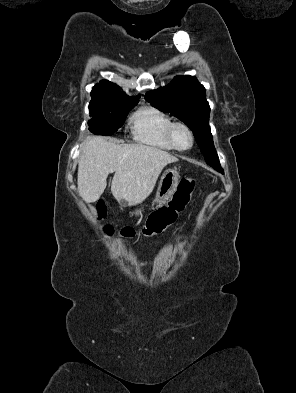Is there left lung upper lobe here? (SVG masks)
Here are the masks:
<instances>
[{
	"mask_svg": "<svg viewBox=\"0 0 296 393\" xmlns=\"http://www.w3.org/2000/svg\"><path fill=\"white\" fill-rule=\"evenodd\" d=\"M153 107L175 114L192 131L206 163L223 172L209 127L210 106L206 90L195 77H175L166 87L146 93Z\"/></svg>",
	"mask_w": 296,
	"mask_h": 393,
	"instance_id": "obj_1",
	"label": "left lung upper lobe"
}]
</instances>
